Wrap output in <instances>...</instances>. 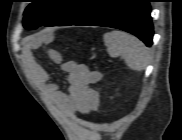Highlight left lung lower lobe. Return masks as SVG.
I'll return each instance as SVG.
<instances>
[{
  "label": "left lung lower lobe",
  "instance_id": "0a47b994",
  "mask_svg": "<svg viewBox=\"0 0 182 140\" xmlns=\"http://www.w3.org/2000/svg\"><path fill=\"white\" fill-rule=\"evenodd\" d=\"M151 0H103L71 25H92L122 29L152 45Z\"/></svg>",
  "mask_w": 182,
  "mask_h": 140
}]
</instances>
